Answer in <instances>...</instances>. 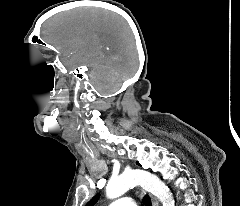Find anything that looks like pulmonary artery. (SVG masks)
Instances as JSON below:
<instances>
[{
  "label": "pulmonary artery",
  "instance_id": "pulmonary-artery-1",
  "mask_svg": "<svg viewBox=\"0 0 240 206\" xmlns=\"http://www.w3.org/2000/svg\"><path fill=\"white\" fill-rule=\"evenodd\" d=\"M109 206H137V205L132 198L122 197L110 203Z\"/></svg>",
  "mask_w": 240,
  "mask_h": 206
}]
</instances>
